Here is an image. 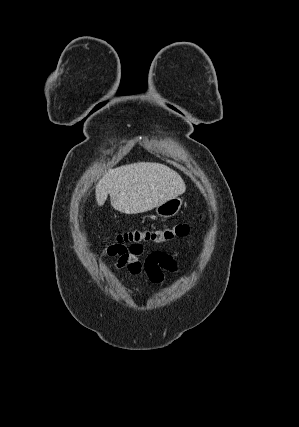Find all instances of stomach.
Listing matches in <instances>:
<instances>
[{"instance_id":"1","label":"stomach","mask_w":299,"mask_h":427,"mask_svg":"<svg viewBox=\"0 0 299 427\" xmlns=\"http://www.w3.org/2000/svg\"><path fill=\"white\" fill-rule=\"evenodd\" d=\"M183 200L179 197L172 198L156 207V214L161 218H170L179 213Z\"/></svg>"}]
</instances>
